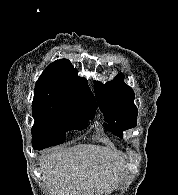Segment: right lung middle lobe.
Segmentation results:
<instances>
[{
    "mask_svg": "<svg viewBox=\"0 0 178 195\" xmlns=\"http://www.w3.org/2000/svg\"><path fill=\"white\" fill-rule=\"evenodd\" d=\"M97 106L91 104H62L33 102L32 115L35 124L32 132V146L42 150L61 144L69 130H81L93 119Z\"/></svg>",
    "mask_w": 178,
    "mask_h": 195,
    "instance_id": "1",
    "label": "right lung middle lobe"
}]
</instances>
